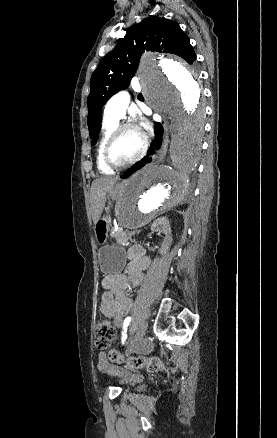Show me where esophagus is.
<instances>
[{"mask_svg":"<svg viewBox=\"0 0 277 438\" xmlns=\"http://www.w3.org/2000/svg\"><path fill=\"white\" fill-rule=\"evenodd\" d=\"M163 128H164L165 133H164L163 143H162L161 149L158 152L159 160L164 158V156L166 155V151H167L168 143H169L168 122L166 120H163Z\"/></svg>","mask_w":277,"mask_h":438,"instance_id":"1","label":"esophagus"}]
</instances>
